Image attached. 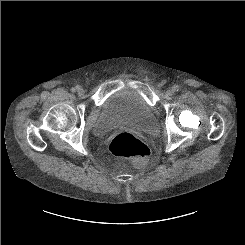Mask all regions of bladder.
<instances>
[{
    "mask_svg": "<svg viewBox=\"0 0 245 245\" xmlns=\"http://www.w3.org/2000/svg\"><path fill=\"white\" fill-rule=\"evenodd\" d=\"M119 123L147 131H153L159 125L146 102L131 89H123L108 96L92 126V134L102 137Z\"/></svg>",
    "mask_w": 245,
    "mask_h": 245,
    "instance_id": "bladder-1",
    "label": "bladder"
}]
</instances>
